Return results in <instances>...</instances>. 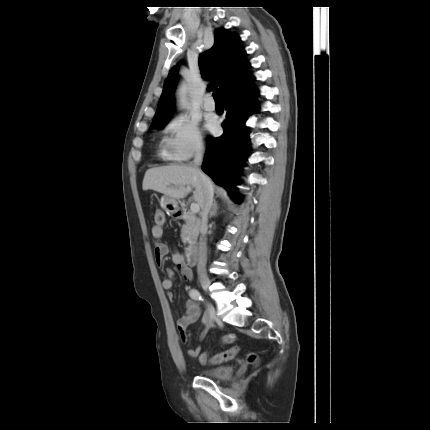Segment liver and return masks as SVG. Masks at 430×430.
<instances>
[{"label": "liver", "mask_w": 430, "mask_h": 430, "mask_svg": "<svg viewBox=\"0 0 430 430\" xmlns=\"http://www.w3.org/2000/svg\"><path fill=\"white\" fill-rule=\"evenodd\" d=\"M170 185H173L170 187ZM192 186L195 188L193 199L201 206L203 185L200 171L187 165H167L148 169L144 175L142 188L167 195L172 199H182L186 191L177 187Z\"/></svg>", "instance_id": "liver-1"}]
</instances>
